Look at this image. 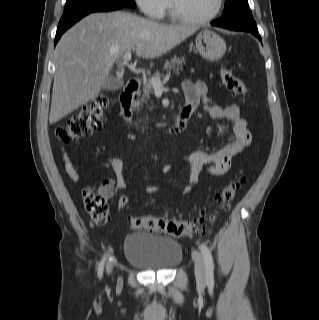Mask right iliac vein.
I'll list each match as a JSON object with an SVG mask.
<instances>
[{
    "instance_id": "63e3f726",
    "label": "right iliac vein",
    "mask_w": 319,
    "mask_h": 320,
    "mask_svg": "<svg viewBox=\"0 0 319 320\" xmlns=\"http://www.w3.org/2000/svg\"><path fill=\"white\" fill-rule=\"evenodd\" d=\"M111 271H112V266L109 265V266H108V272L111 273Z\"/></svg>"
}]
</instances>
